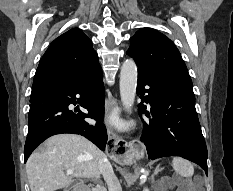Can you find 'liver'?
<instances>
[{"mask_svg": "<svg viewBox=\"0 0 233 191\" xmlns=\"http://www.w3.org/2000/svg\"><path fill=\"white\" fill-rule=\"evenodd\" d=\"M105 154L92 142L76 134H57L48 138L42 151L34 152L26 163L31 191H56L74 179L98 178L99 160ZM71 169L73 174L64 172Z\"/></svg>", "mask_w": 233, "mask_h": 191, "instance_id": "liver-1", "label": "liver"}]
</instances>
